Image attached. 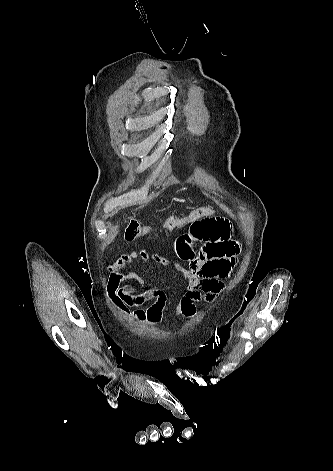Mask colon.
I'll return each instance as SVG.
<instances>
[{
  "label": "colon",
  "instance_id": "5ec220e1",
  "mask_svg": "<svg viewBox=\"0 0 333 471\" xmlns=\"http://www.w3.org/2000/svg\"><path fill=\"white\" fill-rule=\"evenodd\" d=\"M214 210L210 207H201L193 210L186 216H171L162 222L165 229L171 230L181 227L196 219L213 215ZM151 232L150 226H141L137 221L130 220L127 222L124 230V237L128 241H132L138 237L145 236Z\"/></svg>",
  "mask_w": 333,
  "mask_h": 471
}]
</instances>
